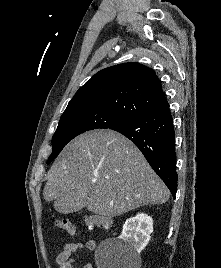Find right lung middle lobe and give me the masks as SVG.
Here are the masks:
<instances>
[{
  "label": "right lung middle lobe",
  "mask_w": 221,
  "mask_h": 268,
  "mask_svg": "<svg viewBox=\"0 0 221 268\" xmlns=\"http://www.w3.org/2000/svg\"><path fill=\"white\" fill-rule=\"evenodd\" d=\"M124 121H127L125 117L105 109L63 113L52 138L53 151L47 164L54 160L64 146L79 134L92 129L111 128Z\"/></svg>",
  "instance_id": "right-lung-middle-lobe-1"
}]
</instances>
